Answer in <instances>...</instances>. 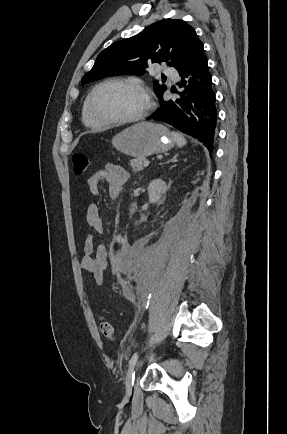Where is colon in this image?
<instances>
[{
	"instance_id": "5ec220e1",
	"label": "colon",
	"mask_w": 287,
	"mask_h": 434,
	"mask_svg": "<svg viewBox=\"0 0 287 434\" xmlns=\"http://www.w3.org/2000/svg\"><path fill=\"white\" fill-rule=\"evenodd\" d=\"M72 165H73V172L76 176L81 177L85 175L88 166H89V160L88 157L85 154L76 153L72 157ZM100 332L103 337H105L107 340L113 341L116 338V332L114 325L105 319H101L99 323Z\"/></svg>"
}]
</instances>
